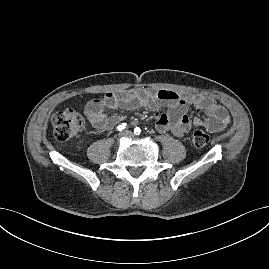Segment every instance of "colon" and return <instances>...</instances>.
<instances>
[{
	"label": "colon",
	"mask_w": 269,
	"mask_h": 269,
	"mask_svg": "<svg viewBox=\"0 0 269 269\" xmlns=\"http://www.w3.org/2000/svg\"><path fill=\"white\" fill-rule=\"evenodd\" d=\"M52 125L55 138L59 141H67L84 130L86 120L78 111L67 108L53 115ZM192 141L196 148H204L209 142V136L205 132L197 130L193 133Z\"/></svg>",
	"instance_id": "1"
}]
</instances>
